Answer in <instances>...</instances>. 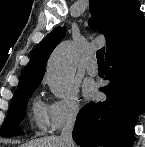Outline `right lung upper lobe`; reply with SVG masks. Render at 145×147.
I'll return each instance as SVG.
<instances>
[{"instance_id":"right-lung-upper-lobe-1","label":"right lung upper lobe","mask_w":145,"mask_h":147,"mask_svg":"<svg viewBox=\"0 0 145 147\" xmlns=\"http://www.w3.org/2000/svg\"><path fill=\"white\" fill-rule=\"evenodd\" d=\"M136 0H90L89 24L106 38V56L125 38L145 23ZM65 27L50 32L33 50L20 77L18 89L38 86L45 73L50 53L65 36Z\"/></svg>"}]
</instances>
